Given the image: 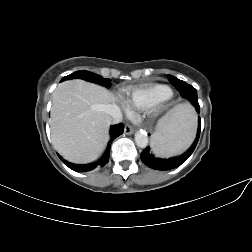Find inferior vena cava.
<instances>
[{"mask_svg": "<svg viewBox=\"0 0 252 252\" xmlns=\"http://www.w3.org/2000/svg\"><path fill=\"white\" fill-rule=\"evenodd\" d=\"M106 112L110 115L113 124L122 122L123 116L120 109L116 105L109 104L106 106Z\"/></svg>", "mask_w": 252, "mask_h": 252, "instance_id": "obj_1", "label": "inferior vena cava"}]
</instances>
